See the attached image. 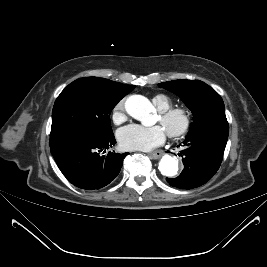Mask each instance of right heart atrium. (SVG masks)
Listing matches in <instances>:
<instances>
[{
	"label": "right heart atrium",
	"instance_id": "right-heart-atrium-1",
	"mask_svg": "<svg viewBox=\"0 0 267 267\" xmlns=\"http://www.w3.org/2000/svg\"><path fill=\"white\" fill-rule=\"evenodd\" d=\"M112 120L115 124H120L126 120L124 101H120L113 108Z\"/></svg>",
	"mask_w": 267,
	"mask_h": 267
}]
</instances>
